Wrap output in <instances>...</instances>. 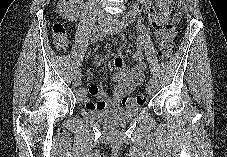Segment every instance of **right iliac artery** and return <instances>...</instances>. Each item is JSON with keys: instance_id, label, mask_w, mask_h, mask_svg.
Returning a JSON list of instances; mask_svg holds the SVG:
<instances>
[{"instance_id": "right-iliac-artery-1", "label": "right iliac artery", "mask_w": 227, "mask_h": 157, "mask_svg": "<svg viewBox=\"0 0 227 157\" xmlns=\"http://www.w3.org/2000/svg\"><path fill=\"white\" fill-rule=\"evenodd\" d=\"M94 40H95L96 44H101L100 36H95ZM73 70H75L76 74H79L80 73L79 65H73Z\"/></svg>"}]
</instances>
